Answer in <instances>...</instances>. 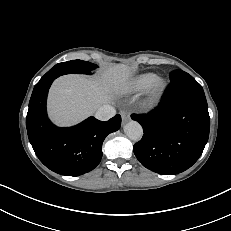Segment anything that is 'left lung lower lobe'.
<instances>
[{"mask_svg":"<svg viewBox=\"0 0 231 231\" xmlns=\"http://www.w3.org/2000/svg\"><path fill=\"white\" fill-rule=\"evenodd\" d=\"M160 104L135 115L144 130L134 145L141 164L159 174H178L201 156L208 141L210 117L202 86L188 73L173 71Z\"/></svg>","mask_w":231,"mask_h":231,"instance_id":"left-lung-lower-lobe-1","label":"left lung lower lobe"}]
</instances>
